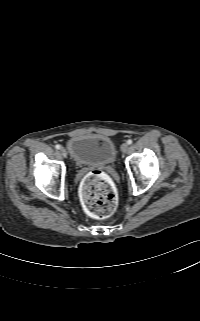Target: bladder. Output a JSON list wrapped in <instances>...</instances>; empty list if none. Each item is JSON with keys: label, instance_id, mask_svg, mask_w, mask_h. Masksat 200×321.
I'll return each mask as SVG.
<instances>
[{"label": "bladder", "instance_id": "bladder-1", "mask_svg": "<svg viewBox=\"0 0 200 321\" xmlns=\"http://www.w3.org/2000/svg\"><path fill=\"white\" fill-rule=\"evenodd\" d=\"M67 150L73 161L79 165H107L116 159V146L107 136L85 134L72 137Z\"/></svg>", "mask_w": 200, "mask_h": 321}]
</instances>
